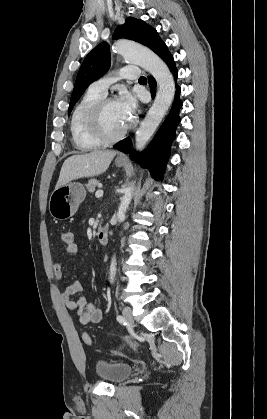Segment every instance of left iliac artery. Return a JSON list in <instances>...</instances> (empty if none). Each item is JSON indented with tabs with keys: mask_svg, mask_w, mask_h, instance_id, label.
<instances>
[{
	"mask_svg": "<svg viewBox=\"0 0 267 419\" xmlns=\"http://www.w3.org/2000/svg\"><path fill=\"white\" fill-rule=\"evenodd\" d=\"M117 321L119 322V323H121V324H126V320H125V318L123 317V316H121V315H118L117 316Z\"/></svg>",
	"mask_w": 267,
	"mask_h": 419,
	"instance_id": "left-iliac-artery-1",
	"label": "left iliac artery"
}]
</instances>
